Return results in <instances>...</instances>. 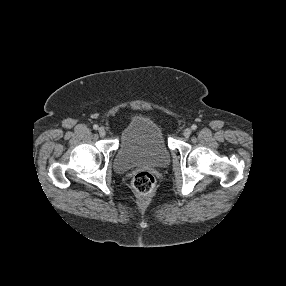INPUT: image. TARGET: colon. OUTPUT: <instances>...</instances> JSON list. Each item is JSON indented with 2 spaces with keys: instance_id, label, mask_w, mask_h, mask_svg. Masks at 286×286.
I'll use <instances>...</instances> for the list:
<instances>
[{
  "instance_id": "colon-1",
  "label": "colon",
  "mask_w": 286,
  "mask_h": 286,
  "mask_svg": "<svg viewBox=\"0 0 286 286\" xmlns=\"http://www.w3.org/2000/svg\"><path fill=\"white\" fill-rule=\"evenodd\" d=\"M154 176L146 171L140 172L135 175L132 181L133 189L140 195H149L155 188Z\"/></svg>"
}]
</instances>
